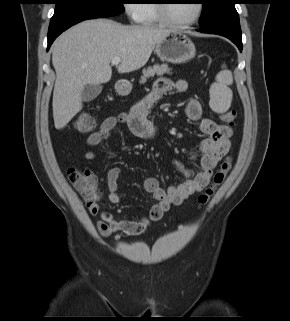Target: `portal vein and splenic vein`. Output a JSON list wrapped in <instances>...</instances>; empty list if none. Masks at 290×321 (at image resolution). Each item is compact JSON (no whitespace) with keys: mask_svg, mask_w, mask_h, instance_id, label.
<instances>
[{"mask_svg":"<svg viewBox=\"0 0 290 321\" xmlns=\"http://www.w3.org/2000/svg\"><path fill=\"white\" fill-rule=\"evenodd\" d=\"M120 62H121V59H120V58H113V59L111 60V64H112V65H118Z\"/></svg>","mask_w":290,"mask_h":321,"instance_id":"obj_1","label":"portal vein and splenic vein"}]
</instances>
